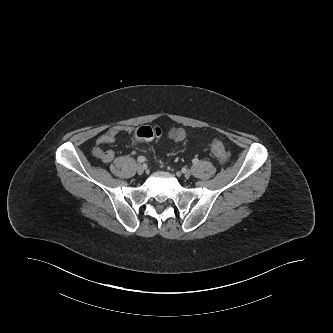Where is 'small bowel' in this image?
<instances>
[{
    "instance_id": "c3829d8e",
    "label": "small bowel",
    "mask_w": 333,
    "mask_h": 333,
    "mask_svg": "<svg viewBox=\"0 0 333 333\" xmlns=\"http://www.w3.org/2000/svg\"><path fill=\"white\" fill-rule=\"evenodd\" d=\"M134 128L131 126H114L100 135L92 149V155L104 163H110L115 158L111 149H104V145L113 142L120 134H132Z\"/></svg>"
}]
</instances>
